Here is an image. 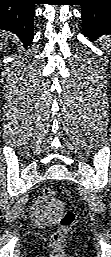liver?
<instances>
[{"instance_id":"6515ba94","label":"liver","mask_w":111,"mask_h":257,"mask_svg":"<svg viewBox=\"0 0 111 257\" xmlns=\"http://www.w3.org/2000/svg\"><path fill=\"white\" fill-rule=\"evenodd\" d=\"M2 39L4 40V43L6 44L7 43V39H8L6 33H3Z\"/></svg>"}]
</instances>
